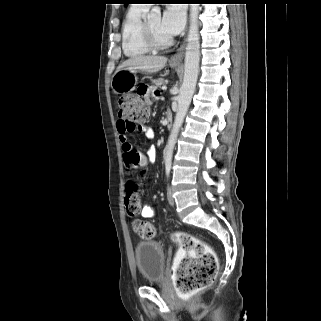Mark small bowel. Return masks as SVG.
Wrapping results in <instances>:
<instances>
[{
    "label": "small bowel",
    "instance_id": "1",
    "mask_svg": "<svg viewBox=\"0 0 321 321\" xmlns=\"http://www.w3.org/2000/svg\"><path fill=\"white\" fill-rule=\"evenodd\" d=\"M135 93L138 95V97H145L144 104H149V89L146 85V83H137L135 88ZM156 96L158 95L156 92L154 93ZM117 131H118V137L119 141L121 143V148L123 151V157L124 161H126L127 157L137 151L139 152L135 147H133L129 141L128 136L131 130H129L126 125L122 121L117 122ZM142 131L147 139H153L155 136L154 130L150 127H143ZM156 155V152L154 149L149 150V152L146 155H143V157L147 160L154 158ZM140 215L143 218H152L155 216V210L151 206L144 205L140 210Z\"/></svg>",
    "mask_w": 321,
    "mask_h": 321
}]
</instances>
